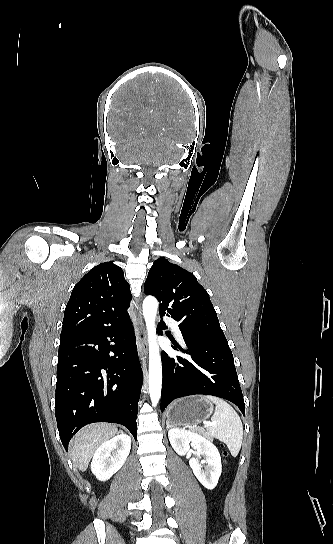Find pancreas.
<instances>
[{
  "mask_svg": "<svg viewBox=\"0 0 333 544\" xmlns=\"http://www.w3.org/2000/svg\"><path fill=\"white\" fill-rule=\"evenodd\" d=\"M200 433H201L202 435H204L205 437H207V438H211L210 435H209V433L206 432V431L200 430Z\"/></svg>",
  "mask_w": 333,
  "mask_h": 544,
  "instance_id": "pancreas-1",
  "label": "pancreas"
}]
</instances>
